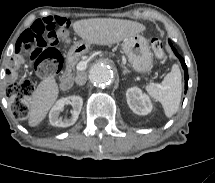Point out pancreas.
Wrapping results in <instances>:
<instances>
[{
  "mask_svg": "<svg viewBox=\"0 0 215 183\" xmlns=\"http://www.w3.org/2000/svg\"><path fill=\"white\" fill-rule=\"evenodd\" d=\"M68 63L70 64V67L73 68L77 63V60H73V61L68 62Z\"/></svg>",
  "mask_w": 215,
  "mask_h": 183,
  "instance_id": "1",
  "label": "pancreas"
}]
</instances>
